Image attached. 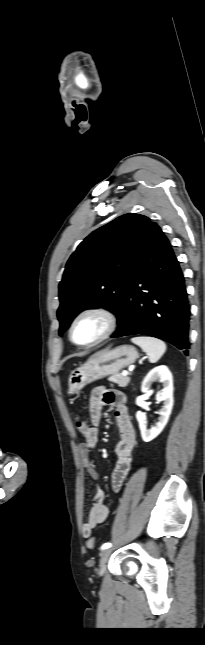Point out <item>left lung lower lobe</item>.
Segmentation results:
<instances>
[{"instance_id": "left-lung-lower-lobe-1", "label": "left lung lower lobe", "mask_w": 205, "mask_h": 645, "mask_svg": "<svg viewBox=\"0 0 205 645\" xmlns=\"http://www.w3.org/2000/svg\"><path fill=\"white\" fill-rule=\"evenodd\" d=\"M121 304L112 338L153 336L188 355L190 305L183 273L169 240L154 222L139 244Z\"/></svg>"}]
</instances>
